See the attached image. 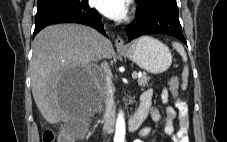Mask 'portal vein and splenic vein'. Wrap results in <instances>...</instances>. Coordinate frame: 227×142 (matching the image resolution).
Listing matches in <instances>:
<instances>
[{"label":"portal vein and splenic vein","instance_id":"obj_1","mask_svg":"<svg viewBox=\"0 0 227 142\" xmlns=\"http://www.w3.org/2000/svg\"><path fill=\"white\" fill-rule=\"evenodd\" d=\"M137 77H138V73L133 72V73H132V78H133V79H136Z\"/></svg>","mask_w":227,"mask_h":142}]
</instances>
